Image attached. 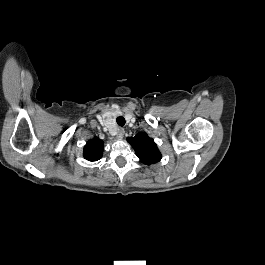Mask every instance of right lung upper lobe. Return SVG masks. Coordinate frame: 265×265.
I'll use <instances>...</instances> for the list:
<instances>
[{
  "instance_id": "right-lung-upper-lobe-1",
  "label": "right lung upper lobe",
  "mask_w": 265,
  "mask_h": 265,
  "mask_svg": "<svg viewBox=\"0 0 265 265\" xmlns=\"http://www.w3.org/2000/svg\"><path fill=\"white\" fill-rule=\"evenodd\" d=\"M103 144V141L98 138L88 141L83 150L84 158L88 161L99 160L102 157Z\"/></svg>"
}]
</instances>
